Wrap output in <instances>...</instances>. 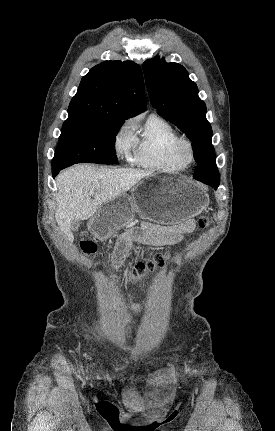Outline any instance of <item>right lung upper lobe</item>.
I'll return each instance as SVG.
<instances>
[{
    "mask_svg": "<svg viewBox=\"0 0 275 431\" xmlns=\"http://www.w3.org/2000/svg\"><path fill=\"white\" fill-rule=\"evenodd\" d=\"M145 110L140 66L132 61H105L82 78L68 115L115 116L125 120Z\"/></svg>",
    "mask_w": 275,
    "mask_h": 431,
    "instance_id": "1",
    "label": "right lung upper lobe"
}]
</instances>
